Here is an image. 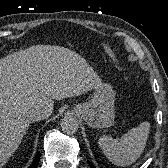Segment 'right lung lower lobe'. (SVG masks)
Returning <instances> with one entry per match:
<instances>
[{"label": "right lung lower lobe", "mask_w": 168, "mask_h": 168, "mask_svg": "<svg viewBox=\"0 0 168 168\" xmlns=\"http://www.w3.org/2000/svg\"><path fill=\"white\" fill-rule=\"evenodd\" d=\"M39 159H40V153L36 156L34 162L32 163V165L29 168H36L37 164L39 163Z\"/></svg>", "instance_id": "1"}]
</instances>
